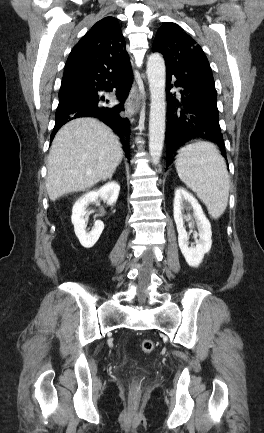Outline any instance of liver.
Here are the masks:
<instances>
[{
  "mask_svg": "<svg viewBox=\"0 0 264 433\" xmlns=\"http://www.w3.org/2000/svg\"><path fill=\"white\" fill-rule=\"evenodd\" d=\"M123 158L119 138L102 122L79 118L56 134L48 157L46 189L51 201L112 177Z\"/></svg>",
  "mask_w": 264,
  "mask_h": 433,
  "instance_id": "1",
  "label": "liver"
}]
</instances>
